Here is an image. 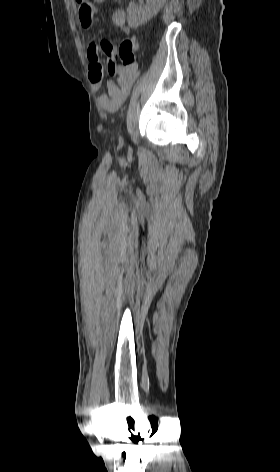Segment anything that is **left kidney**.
Returning a JSON list of instances; mask_svg holds the SVG:
<instances>
[{"label":"left kidney","instance_id":"obj_1","mask_svg":"<svg viewBox=\"0 0 280 472\" xmlns=\"http://www.w3.org/2000/svg\"><path fill=\"white\" fill-rule=\"evenodd\" d=\"M166 0H146L144 6H137L134 2H130L127 13H128V24L132 28H137L140 25L150 20Z\"/></svg>","mask_w":280,"mask_h":472}]
</instances>
